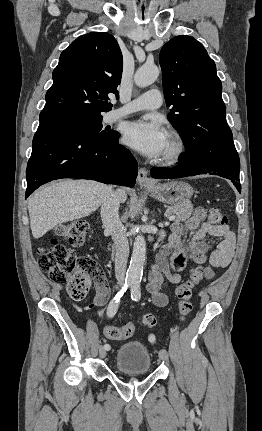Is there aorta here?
I'll return each instance as SVG.
<instances>
[{"label":"aorta","instance_id":"762f6f07","mask_svg":"<svg viewBox=\"0 0 262 431\" xmlns=\"http://www.w3.org/2000/svg\"><path fill=\"white\" fill-rule=\"evenodd\" d=\"M159 76L156 65H143L135 75V84L139 87H147L154 83ZM146 259V242L143 235H137L133 244L130 265L127 270V281L130 285L138 286L142 279L143 267Z\"/></svg>","mask_w":262,"mask_h":431}]
</instances>
